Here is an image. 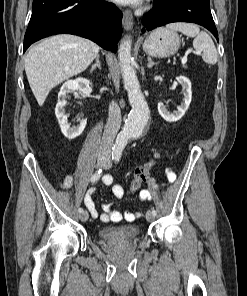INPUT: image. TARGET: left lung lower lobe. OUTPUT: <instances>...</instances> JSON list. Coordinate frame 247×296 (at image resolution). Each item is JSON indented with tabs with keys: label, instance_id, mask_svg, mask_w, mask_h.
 Returning <instances> with one entry per match:
<instances>
[{
	"label": "left lung lower lobe",
	"instance_id": "obj_1",
	"mask_svg": "<svg viewBox=\"0 0 247 296\" xmlns=\"http://www.w3.org/2000/svg\"><path fill=\"white\" fill-rule=\"evenodd\" d=\"M173 22H192L207 28L218 41L209 0H154L144 15L142 32Z\"/></svg>",
	"mask_w": 247,
	"mask_h": 296
}]
</instances>
